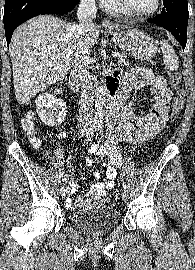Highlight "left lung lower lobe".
I'll use <instances>...</instances> for the list:
<instances>
[{"label": "left lung lower lobe", "mask_w": 195, "mask_h": 270, "mask_svg": "<svg viewBox=\"0 0 195 270\" xmlns=\"http://www.w3.org/2000/svg\"><path fill=\"white\" fill-rule=\"evenodd\" d=\"M163 4L164 9H162L161 14L156 15L154 19H148V22L170 31L184 50L187 42L189 17L187 0H164Z\"/></svg>", "instance_id": "left-lung-lower-lobe-1"}]
</instances>
